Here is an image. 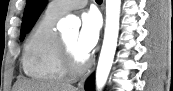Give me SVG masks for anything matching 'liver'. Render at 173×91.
I'll use <instances>...</instances> for the list:
<instances>
[{
    "instance_id": "obj_1",
    "label": "liver",
    "mask_w": 173,
    "mask_h": 91,
    "mask_svg": "<svg viewBox=\"0 0 173 91\" xmlns=\"http://www.w3.org/2000/svg\"><path fill=\"white\" fill-rule=\"evenodd\" d=\"M13 91H77L73 86L59 82H35L18 79Z\"/></svg>"
}]
</instances>
